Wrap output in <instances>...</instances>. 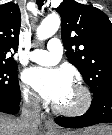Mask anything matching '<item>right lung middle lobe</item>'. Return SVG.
Segmentation results:
<instances>
[{
	"mask_svg": "<svg viewBox=\"0 0 112 135\" xmlns=\"http://www.w3.org/2000/svg\"><path fill=\"white\" fill-rule=\"evenodd\" d=\"M19 96L20 88L15 62H0V97Z\"/></svg>",
	"mask_w": 112,
	"mask_h": 135,
	"instance_id": "obj_1",
	"label": "right lung middle lobe"
}]
</instances>
